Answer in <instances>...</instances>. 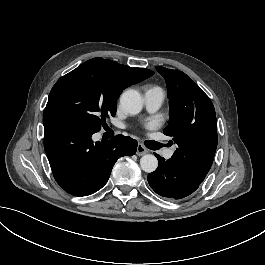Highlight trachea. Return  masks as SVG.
Returning <instances> with one entry per match:
<instances>
[{
    "label": "trachea",
    "mask_w": 265,
    "mask_h": 265,
    "mask_svg": "<svg viewBox=\"0 0 265 265\" xmlns=\"http://www.w3.org/2000/svg\"><path fill=\"white\" fill-rule=\"evenodd\" d=\"M152 143H153V146H154L153 150L159 149V148H161L163 146H167L165 144H161V143H158V142H152Z\"/></svg>",
    "instance_id": "3493384b"
}]
</instances>
